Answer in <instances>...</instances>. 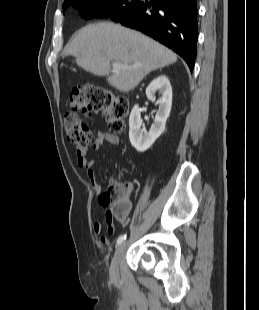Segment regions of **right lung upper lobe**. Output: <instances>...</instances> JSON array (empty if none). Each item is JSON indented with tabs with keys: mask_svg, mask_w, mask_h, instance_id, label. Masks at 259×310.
Listing matches in <instances>:
<instances>
[{
	"mask_svg": "<svg viewBox=\"0 0 259 310\" xmlns=\"http://www.w3.org/2000/svg\"><path fill=\"white\" fill-rule=\"evenodd\" d=\"M70 1H84V2L89 3V2L99 1V0H65V2L63 4L70 2Z\"/></svg>",
	"mask_w": 259,
	"mask_h": 310,
	"instance_id": "right-lung-upper-lobe-1",
	"label": "right lung upper lobe"
}]
</instances>
